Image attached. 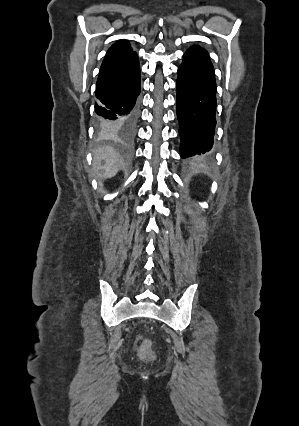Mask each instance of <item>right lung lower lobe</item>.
I'll return each mask as SVG.
<instances>
[{
    "label": "right lung lower lobe",
    "instance_id": "right-lung-lower-lobe-1",
    "mask_svg": "<svg viewBox=\"0 0 299 426\" xmlns=\"http://www.w3.org/2000/svg\"><path fill=\"white\" fill-rule=\"evenodd\" d=\"M139 94L140 67L136 53L104 61L96 84L99 130L131 138L138 119Z\"/></svg>",
    "mask_w": 299,
    "mask_h": 426
}]
</instances>
